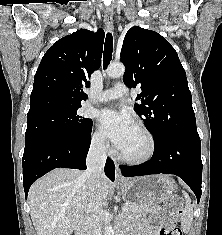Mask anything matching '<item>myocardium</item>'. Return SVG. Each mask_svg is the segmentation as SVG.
<instances>
[{"mask_svg": "<svg viewBox=\"0 0 222 235\" xmlns=\"http://www.w3.org/2000/svg\"><path fill=\"white\" fill-rule=\"evenodd\" d=\"M134 126L136 128H138L141 132H143V134L147 137V139L149 141L148 152L144 156L138 157V158L127 157V156L121 154L120 152H118L117 157L120 161H122L124 163L131 164V165H139V164H144L153 158V156L156 153L157 142H156V138H155L154 134L143 123L137 122L134 124Z\"/></svg>", "mask_w": 222, "mask_h": 235, "instance_id": "myocardium-1", "label": "myocardium"}]
</instances>
